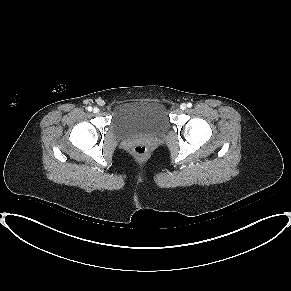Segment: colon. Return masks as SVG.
Instances as JSON below:
<instances>
[{
	"mask_svg": "<svg viewBox=\"0 0 291 291\" xmlns=\"http://www.w3.org/2000/svg\"><path fill=\"white\" fill-rule=\"evenodd\" d=\"M132 156L135 159L138 160H143L148 156V148L144 144H137L135 147L132 149Z\"/></svg>",
	"mask_w": 291,
	"mask_h": 291,
	"instance_id": "colon-1",
	"label": "colon"
}]
</instances>
